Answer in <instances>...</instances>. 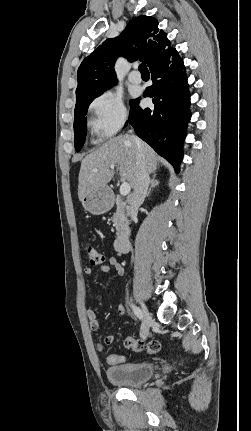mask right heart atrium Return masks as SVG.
<instances>
[{"mask_svg": "<svg viewBox=\"0 0 251 431\" xmlns=\"http://www.w3.org/2000/svg\"><path fill=\"white\" fill-rule=\"evenodd\" d=\"M89 125L99 138L117 133L128 118L121 95L109 91L98 94L89 104Z\"/></svg>", "mask_w": 251, "mask_h": 431, "instance_id": "d8ad5b80", "label": "right heart atrium"}]
</instances>
